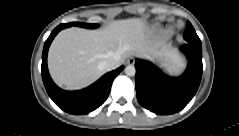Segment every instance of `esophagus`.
I'll use <instances>...</instances> for the list:
<instances>
[{
  "label": "esophagus",
  "instance_id": "34e87169",
  "mask_svg": "<svg viewBox=\"0 0 239 136\" xmlns=\"http://www.w3.org/2000/svg\"><path fill=\"white\" fill-rule=\"evenodd\" d=\"M134 62H135V60H134V58H129L128 59V61H127V63L129 64V65H132V64H134Z\"/></svg>",
  "mask_w": 239,
  "mask_h": 136
}]
</instances>
